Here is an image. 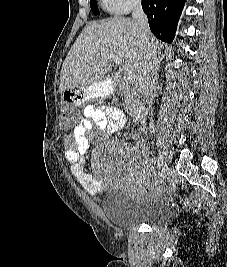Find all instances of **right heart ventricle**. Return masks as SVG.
Returning a JSON list of instances; mask_svg holds the SVG:
<instances>
[{
  "label": "right heart ventricle",
  "instance_id": "obj_1",
  "mask_svg": "<svg viewBox=\"0 0 227 267\" xmlns=\"http://www.w3.org/2000/svg\"><path fill=\"white\" fill-rule=\"evenodd\" d=\"M104 7H105V9H107L109 12H112V13H114V10H113L112 8H110V7L106 6L105 4H104Z\"/></svg>",
  "mask_w": 227,
  "mask_h": 267
}]
</instances>
